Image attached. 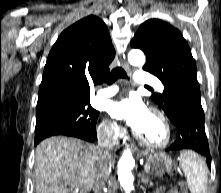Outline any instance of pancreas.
Wrapping results in <instances>:
<instances>
[{"label":"pancreas","instance_id":"cf45deb5","mask_svg":"<svg viewBox=\"0 0 221 193\" xmlns=\"http://www.w3.org/2000/svg\"><path fill=\"white\" fill-rule=\"evenodd\" d=\"M167 171H171V168H168ZM164 173V169H160L159 171L156 172L157 176H161Z\"/></svg>","mask_w":221,"mask_h":193}]
</instances>
